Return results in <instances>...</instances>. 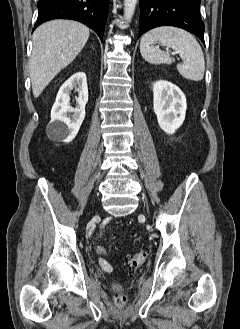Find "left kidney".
Segmentation results:
<instances>
[{
    "mask_svg": "<svg viewBox=\"0 0 240 329\" xmlns=\"http://www.w3.org/2000/svg\"><path fill=\"white\" fill-rule=\"evenodd\" d=\"M153 87V110L160 128L173 134L183 124L187 109L184 93L174 84L158 80Z\"/></svg>",
    "mask_w": 240,
    "mask_h": 329,
    "instance_id": "left-kidney-1",
    "label": "left kidney"
}]
</instances>
